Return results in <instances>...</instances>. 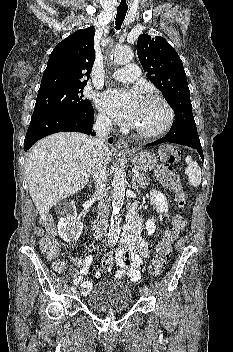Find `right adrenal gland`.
I'll return each mask as SVG.
<instances>
[{"mask_svg":"<svg viewBox=\"0 0 233 352\" xmlns=\"http://www.w3.org/2000/svg\"><path fill=\"white\" fill-rule=\"evenodd\" d=\"M93 184H94L93 181H90V182H89V186H92Z\"/></svg>","mask_w":233,"mask_h":352,"instance_id":"right-adrenal-gland-1","label":"right adrenal gland"}]
</instances>
